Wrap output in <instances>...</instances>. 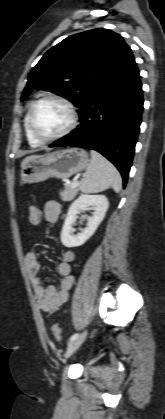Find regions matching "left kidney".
Instances as JSON below:
<instances>
[{"label":"left kidney","mask_w":165,"mask_h":419,"mask_svg":"<svg viewBox=\"0 0 165 419\" xmlns=\"http://www.w3.org/2000/svg\"><path fill=\"white\" fill-rule=\"evenodd\" d=\"M109 202L104 195L81 194L70 206L67 217L65 219L62 232L61 242L66 247H77L83 245L96 231L99 224L105 217ZM92 207L93 216L87 217V227L81 233L72 235L73 224L77 219V214L81 210Z\"/></svg>","instance_id":"obj_1"}]
</instances>
